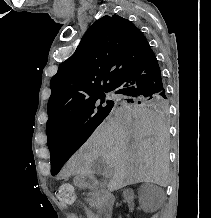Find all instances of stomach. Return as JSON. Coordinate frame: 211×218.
<instances>
[{
  "label": "stomach",
  "instance_id": "1",
  "mask_svg": "<svg viewBox=\"0 0 211 218\" xmlns=\"http://www.w3.org/2000/svg\"><path fill=\"white\" fill-rule=\"evenodd\" d=\"M75 180L77 184H82L84 182L83 176L81 175H78Z\"/></svg>",
  "mask_w": 211,
  "mask_h": 218
}]
</instances>
